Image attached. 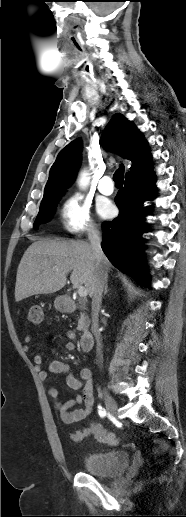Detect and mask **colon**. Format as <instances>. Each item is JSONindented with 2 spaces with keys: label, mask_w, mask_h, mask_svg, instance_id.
<instances>
[{
  "label": "colon",
  "mask_w": 186,
  "mask_h": 517,
  "mask_svg": "<svg viewBox=\"0 0 186 517\" xmlns=\"http://www.w3.org/2000/svg\"><path fill=\"white\" fill-rule=\"evenodd\" d=\"M29 321L32 324L39 325L43 321V310L40 305H32L29 308L28 313ZM98 439L101 442H104L108 445L114 446L118 443V439L111 433L106 432L105 430H100L98 434Z\"/></svg>",
  "instance_id": "5ec220e1"
}]
</instances>
